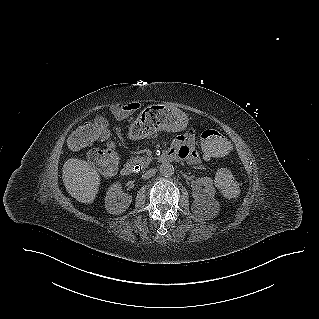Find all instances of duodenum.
<instances>
[{
  "label": "duodenum",
  "instance_id": "obj_1",
  "mask_svg": "<svg viewBox=\"0 0 319 319\" xmlns=\"http://www.w3.org/2000/svg\"><path fill=\"white\" fill-rule=\"evenodd\" d=\"M175 158L174 154L171 151H166L163 152L162 154L158 155L156 157V160L160 163L162 162H168L171 161ZM134 172V166L131 164H124L123 167L121 168V174L124 177H129L133 174Z\"/></svg>",
  "mask_w": 319,
  "mask_h": 319
}]
</instances>
